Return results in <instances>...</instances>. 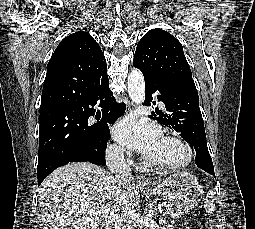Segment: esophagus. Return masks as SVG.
Here are the masks:
<instances>
[{
  "label": "esophagus",
  "mask_w": 255,
  "mask_h": 229,
  "mask_svg": "<svg viewBox=\"0 0 255 229\" xmlns=\"http://www.w3.org/2000/svg\"><path fill=\"white\" fill-rule=\"evenodd\" d=\"M134 107H135V105L132 102H128L127 107H126V113H130L134 109ZM136 179H137L138 183H140L142 185H147V186L152 185L151 181L144 175L137 174Z\"/></svg>",
  "instance_id": "1"
}]
</instances>
